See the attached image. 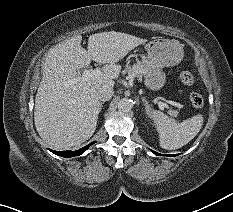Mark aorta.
Listing matches in <instances>:
<instances>
[{
    "instance_id": "762f6f07",
    "label": "aorta",
    "mask_w": 233,
    "mask_h": 212,
    "mask_svg": "<svg viewBox=\"0 0 233 212\" xmlns=\"http://www.w3.org/2000/svg\"><path fill=\"white\" fill-rule=\"evenodd\" d=\"M133 107V103L130 99L128 98H122L119 102H118V109L120 111L123 112H127L130 111L131 108Z\"/></svg>"
}]
</instances>
